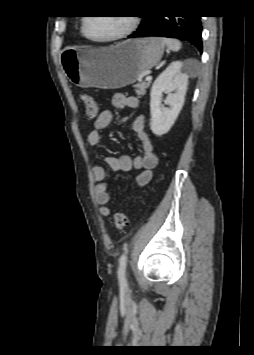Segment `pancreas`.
Listing matches in <instances>:
<instances>
[{
  "label": "pancreas",
  "instance_id": "1",
  "mask_svg": "<svg viewBox=\"0 0 254 355\" xmlns=\"http://www.w3.org/2000/svg\"><path fill=\"white\" fill-rule=\"evenodd\" d=\"M150 81L148 82H141V83H138L136 86H135V93L141 97V96H144L145 93H146V89L150 86Z\"/></svg>",
  "mask_w": 254,
  "mask_h": 355
}]
</instances>
